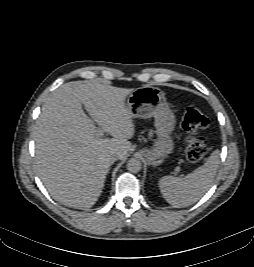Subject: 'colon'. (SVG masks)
<instances>
[{"label": "colon", "mask_w": 254, "mask_h": 267, "mask_svg": "<svg viewBox=\"0 0 254 267\" xmlns=\"http://www.w3.org/2000/svg\"><path fill=\"white\" fill-rule=\"evenodd\" d=\"M210 122L196 106L185 108L182 117V128L188 134L185 149L186 158L191 163L200 162L207 153L206 139L202 133L209 128Z\"/></svg>", "instance_id": "colon-1"}]
</instances>
